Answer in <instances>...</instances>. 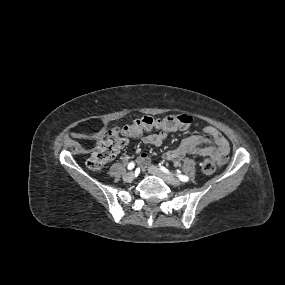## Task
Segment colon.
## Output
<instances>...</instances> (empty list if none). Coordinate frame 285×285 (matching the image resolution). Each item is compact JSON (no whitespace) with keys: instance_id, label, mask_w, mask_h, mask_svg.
Listing matches in <instances>:
<instances>
[{"instance_id":"5ec220e1","label":"colon","mask_w":285,"mask_h":285,"mask_svg":"<svg viewBox=\"0 0 285 285\" xmlns=\"http://www.w3.org/2000/svg\"><path fill=\"white\" fill-rule=\"evenodd\" d=\"M192 122V117L187 114L170 115L161 119H155L150 116L134 119L121 129H112L104 133L91 151L87 159V165L89 168L97 170L115 157L120 148V143H118L119 132L125 137L135 138L143 130L152 128L156 124L162 123L166 126H172L177 130L185 131L191 127ZM201 169L204 174L211 175L216 170V163L213 160H205L201 164Z\"/></svg>"}]
</instances>
